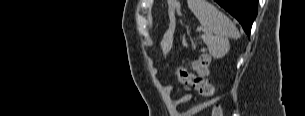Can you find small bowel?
Listing matches in <instances>:
<instances>
[{"label":"small bowel","mask_w":305,"mask_h":116,"mask_svg":"<svg viewBox=\"0 0 305 116\" xmlns=\"http://www.w3.org/2000/svg\"><path fill=\"white\" fill-rule=\"evenodd\" d=\"M171 48V43H165L164 44V50L167 51ZM193 98V93H188L186 95H183L182 97H180L178 100H177V104H183V103H186L188 102L189 100H191ZM204 107V104H200V105H197V106H194L190 109H188L184 114L183 116H193L195 115L199 110H201L202 108Z\"/></svg>","instance_id":"1"}]
</instances>
